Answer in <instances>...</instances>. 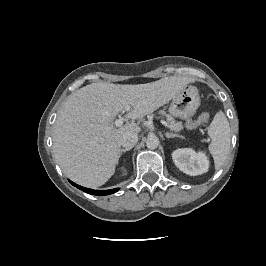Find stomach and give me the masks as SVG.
Segmentation results:
<instances>
[{
    "label": "stomach",
    "mask_w": 266,
    "mask_h": 266,
    "mask_svg": "<svg viewBox=\"0 0 266 266\" xmlns=\"http://www.w3.org/2000/svg\"><path fill=\"white\" fill-rule=\"evenodd\" d=\"M200 105V96L195 86H186L171 101L169 113L176 118L186 119L196 113Z\"/></svg>",
    "instance_id": "0dacf381"
}]
</instances>
